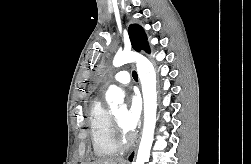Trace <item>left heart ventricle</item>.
Instances as JSON below:
<instances>
[{
    "instance_id": "1",
    "label": "left heart ventricle",
    "mask_w": 251,
    "mask_h": 164,
    "mask_svg": "<svg viewBox=\"0 0 251 164\" xmlns=\"http://www.w3.org/2000/svg\"><path fill=\"white\" fill-rule=\"evenodd\" d=\"M124 111L120 110L118 112H116L114 114L115 119L117 120V122L119 123V125L122 127V122H123V118H124Z\"/></svg>"
}]
</instances>
